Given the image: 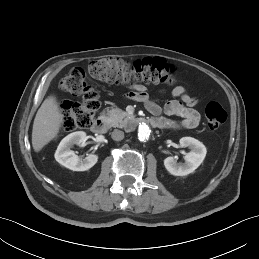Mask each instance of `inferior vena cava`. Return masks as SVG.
I'll list each match as a JSON object with an SVG mask.
<instances>
[{
  "mask_svg": "<svg viewBox=\"0 0 259 259\" xmlns=\"http://www.w3.org/2000/svg\"><path fill=\"white\" fill-rule=\"evenodd\" d=\"M111 137L115 141H121L124 138V132L121 130L115 129L112 132Z\"/></svg>",
  "mask_w": 259,
  "mask_h": 259,
  "instance_id": "obj_1",
  "label": "inferior vena cava"
}]
</instances>
